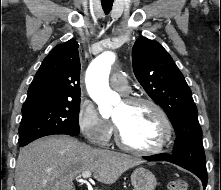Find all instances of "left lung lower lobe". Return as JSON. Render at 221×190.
Wrapping results in <instances>:
<instances>
[{
    "label": "left lung lower lobe",
    "mask_w": 221,
    "mask_h": 190,
    "mask_svg": "<svg viewBox=\"0 0 221 190\" xmlns=\"http://www.w3.org/2000/svg\"><path fill=\"white\" fill-rule=\"evenodd\" d=\"M144 159L148 161H168L174 163L184 169L189 170L190 172L194 173L198 176L203 184V188H206L208 177H207V169L205 164H198L186 159L179 158L174 154H156L148 157H144Z\"/></svg>",
    "instance_id": "0a47b994"
}]
</instances>
